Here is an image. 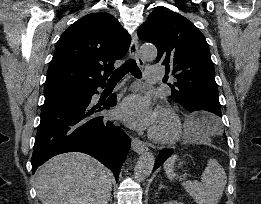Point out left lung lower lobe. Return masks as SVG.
<instances>
[{"instance_id": "1", "label": "left lung lower lobe", "mask_w": 261, "mask_h": 204, "mask_svg": "<svg viewBox=\"0 0 261 204\" xmlns=\"http://www.w3.org/2000/svg\"><path fill=\"white\" fill-rule=\"evenodd\" d=\"M194 114H198V111H190ZM204 126L214 132L221 133L222 127L221 124H219L217 121L209 118L207 115H203L201 118ZM173 153V149H163L160 151L158 157L156 158L155 165L153 168V171L156 170L158 167H160Z\"/></svg>"}]
</instances>
